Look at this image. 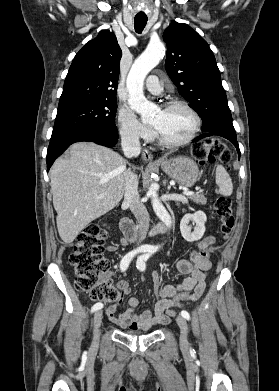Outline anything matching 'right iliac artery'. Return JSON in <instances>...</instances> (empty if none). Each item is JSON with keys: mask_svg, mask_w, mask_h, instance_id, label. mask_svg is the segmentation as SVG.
Listing matches in <instances>:
<instances>
[{"mask_svg": "<svg viewBox=\"0 0 279 391\" xmlns=\"http://www.w3.org/2000/svg\"><path fill=\"white\" fill-rule=\"evenodd\" d=\"M146 251H147V248L140 247V248H138L136 250L128 252L121 260V263H120L121 271L124 272L128 268L131 260L133 259V257L136 254L142 253V252H146ZM102 307H103L102 303H96V304L93 305V307L91 309V312H95L97 310H100Z\"/></svg>", "mask_w": 279, "mask_h": 391, "instance_id": "right-iliac-artery-1", "label": "right iliac artery"}]
</instances>
